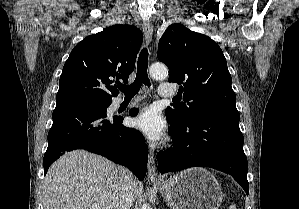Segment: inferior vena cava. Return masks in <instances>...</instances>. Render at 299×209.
<instances>
[{
  "label": "inferior vena cava",
  "instance_id": "obj_1",
  "mask_svg": "<svg viewBox=\"0 0 299 209\" xmlns=\"http://www.w3.org/2000/svg\"><path fill=\"white\" fill-rule=\"evenodd\" d=\"M124 180L122 187V194L117 203V209H130L133 201L132 196V182L133 174L126 168L123 169Z\"/></svg>",
  "mask_w": 299,
  "mask_h": 209
}]
</instances>
